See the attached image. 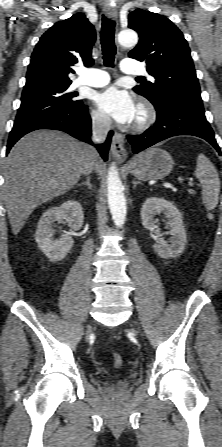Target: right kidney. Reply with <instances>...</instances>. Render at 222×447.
Masks as SVG:
<instances>
[{
    "instance_id": "obj_1",
    "label": "right kidney",
    "mask_w": 222,
    "mask_h": 447,
    "mask_svg": "<svg viewBox=\"0 0 222 447\" xmlns=\"http://www.w3.org/2000/svg\"><path fill=\"white\" fill-rule=\"evenodd\" d=\"M66 220L71 231L81 229L84 215L79 202L68 200L60 206L52 207L43 213L35 233V240L40 250L53 262L61 261L70 252L74 240L68 234L60 239H53V226L56 222Z\"/></svg>"
}]
</instances>
